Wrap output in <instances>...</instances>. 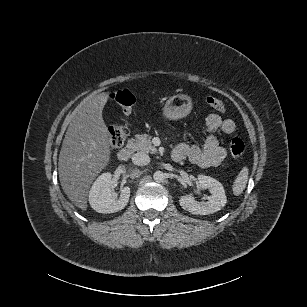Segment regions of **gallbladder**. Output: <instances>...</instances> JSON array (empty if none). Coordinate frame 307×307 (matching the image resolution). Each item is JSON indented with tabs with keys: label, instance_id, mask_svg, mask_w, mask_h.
I'll return each instance as SVG.
<instances>
[{
	"label": "gallbladder",
	"instance_id": "gallbladder-1",
	"mask_svg": "<svg viewBox=\"0 0 307 307\" xmlns=\"http://www.w3.org/2000/svg\"><path fill=\"white\" fill-rule=\"evenodd\" d=\"M108 115H111V112H108ZM107 119H110V116H107Z\"/></svg>",
	"mask_w": 307,
	"mask_h": 307
}]
</instances>
